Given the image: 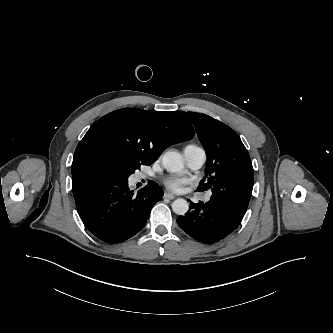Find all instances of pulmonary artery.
<instances>
[{"instance_id":"obj_1","label":"pulmonary artery","mask_w":333,"mask_h":333,"mask_svg":"<svg viewBox=\"0 0 333 333\" xmlns=\"http://www.w3.org/2000/svg\"><path fill=\"white\" fill-rule=\"evenodd\" d=\"M184 155L186 158V161L190 168L192 169H198L200 168L205 160H206V153L205 151L197 146H187L184 149ZM139 178H145V176H139ZM210 194L206 196L207 199H209Z\"/></svg>"}]
</instances>
